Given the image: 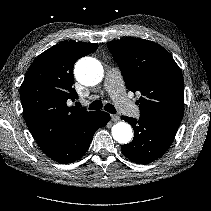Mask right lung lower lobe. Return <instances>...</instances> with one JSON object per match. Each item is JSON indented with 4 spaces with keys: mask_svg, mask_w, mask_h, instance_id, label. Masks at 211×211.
<instances>
[{
    "mask_svg": "<svg viewBox=\"0 0 211 211\" xmlns=\"http://www.w3.org/2000/svg\"><path fill=\"white\" fill-rule=\"evenodd\" d=\"M109 120L108 113L94 111L80 120L65 139L46 154L59 163L74 162L85 154L97 129L104 127Z\"/></svg>",
    "mask_w": 211,
    "mask_h": 211,
    "instance_id": "obj_1",
    "label": "right lung lower lobe"
}]
</instances>
